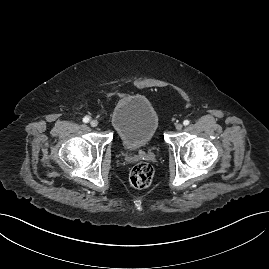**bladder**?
Here are the masks:
<instances>
[{
	"instance_id": "31cf9c89",
	"label": "bladder",
	"mask_w": 269,
	"mask_h": 269,
	"mask_svg": "<svg viewBox=\"0 0 269 269\" xmlns=\"http://www.w3.org/2000/svg\"><path fill=\"white\" fill-rule=\"evenodd\" d=\"M110 122L120 143L132 150L147 146L159 127L154 106L137 94L124 97L114 106Z\"/></svg>"
}]
</instances>
